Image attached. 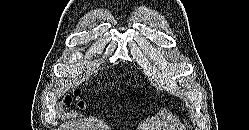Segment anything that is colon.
<instances>
[{"label": "colon", "instance_id": "obj_1", "mask_svg": "<svg viewBox=\"0 0 249 130\" xmlns=\"http://www.w3.org/2000/svg\"><path fill=\"white\" fill-rule=\"evenodd\" d=\"M79 95V92L76 90L74 91V93L72 95H67L65 98H64V103L65 105H70L72 104L75 100H77V97ZM78 106L79 107H82V103H78Z\"/></svg>", "mask_w": 249, "mask_h": 130}]
</instances>
